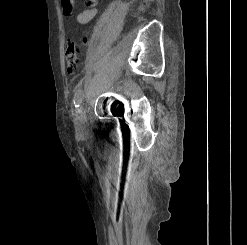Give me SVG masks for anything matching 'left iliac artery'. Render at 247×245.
Here are the masks:
<instances>
[{
  "label": "left iliac artery",
  "mask_w": 247,
  "mask_h": 245,
  "mask_svg": "<svg viewBox=\"0 0 247 245\" xmlns=\"http://www.w3.org/2000/svg\"><path fill=\"white\" fill-rule=\"evenodd\" d=\"M83 96H84V93H83V90L82 89H78L74 95V99H73V103H74V106L77 108L80 106V104L82 103V100H83Z\"/></svg>",
  "instance_id": "obj_1"
}]
</instances>
